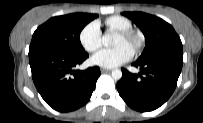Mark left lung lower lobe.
Wrapping results in <instances>:
<instances>
[{
    "label": "left lung lower lobe",
    "instance_id": "0a47b994",
    "mask_svg": "<svg viewBox=\"0 0 203 123\" xmlns=\"http://www.w3.org/2000/svg\"><path fill=\"white\" fill-rule=\"evenodd\" d=\"M133 65L141 72L132 74L122 69L117 90L131 108L149 112L164 104L175 90L183 65V52L137 60Z\"/></svg>",
    "mask_w": 203,
    "mask_h": 123
}]
</instances>
